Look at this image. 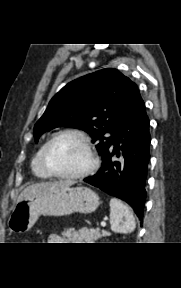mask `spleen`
I'll return each mask as SVG.
<instances>
[{
  "instance_id": "obj_1",
  "label": "spleen",
  "mask_w": 181,
  "mask_h": 288,
  "mask_svg": "<svg viewBox=\"0 0 181 288\" xmlns=\"http://www.w3.org/2000/svg\"><path fill=\"white\" fill-rule=\"evenodd\" d=\"M110 226L115 233H131L136 227L135 218L130 208L122 201L110 200Z\"/></svg>"
}]
</instances>
